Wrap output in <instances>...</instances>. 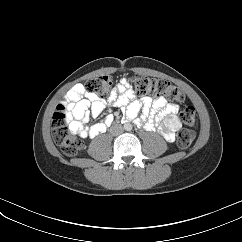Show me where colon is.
<instances>
[{
    "label": "colon",
    "mask_w": 242,
    "mask_h": 242,
    "mask_svg": "<svg viewBox=\"0 0 242 242\" xmlns=\"http://www.w3.org/2000/svg\"><path fill=\"white\" fill-rule=\"evenodd\" d=\"M132 86L135 92L140 96L149 94L162 95L173 102H183L184 94L176 86L169 82L156 79L142 74H134L131 77ZM114 86V80L110 75H102L85 82L84 88L86 92L96 93L100 96H106L111 93ZM181 119L185 125L180 130L177 137V143L181 148L190 146L194 139L193 128L196 126V112L191 106L182 110ZM52 133L56 144L62 152L67 156H75L82 149V141L68 127L66 115L61 106H58L57 111L52 117Z\"/></svg>",
    "instance_id": "colon-1"
}]
</instances>
